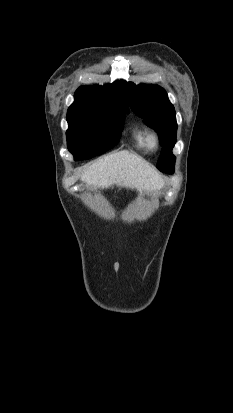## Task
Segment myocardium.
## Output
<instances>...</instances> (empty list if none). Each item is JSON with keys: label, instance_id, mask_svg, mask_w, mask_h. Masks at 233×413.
<instances>
[{"label": "myocardium", "instance_id": "myocardium-1", "mask_svg": "<svg viewBox=\"0 0 233 413\" xmlns=\"http://www.w3.org/2000/svg\"><path fill=\"white\" fill-rule=\"evenodd\" d=\"M159 144H160L159 136L154 132L149 133V135H148V145H149V147L151 149H156V148H158Z\"/></svg>", "mask_w": 233, "mask_h": 413}]
</instances>
